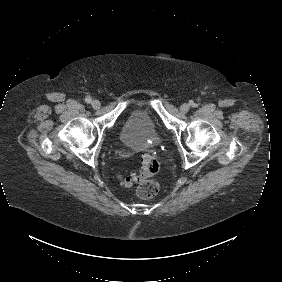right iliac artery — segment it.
<instances>
[{
  "label": "right iliac artery",
  "mask_w": 282,
  "mask_h": 282,
  "mask_svg": "<svg viewBox=\"0 0 282 282\" xmlns=\"http://www.w3.org/2000/svg\"><path fill=\"white\" fill-rule=\"evenodd\" d=\"M91 101H92L91 97H86V98H85V102H86V103H91Z\"/></svg>",
  "instance_id": "right-iliac-artery-1"
}]
</instances>
